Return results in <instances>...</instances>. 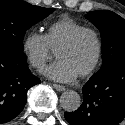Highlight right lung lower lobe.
Returning a JSON list of instances; mask_svg holds the SVG:
<instances>
[{
    "instance_id": "98d812e1",
    "label": "right lung lower lobe",
    "mask_w": 125,
    "mask_h": 125,
    "mask_svg": "<svg viewBox=\"0 0 125 125\" xmlns=\"http://www.w3.org/2000/svg\"><path fill=\"white\" fill-rule=\"evenodd\" d=\"M23 51L0 43V123L18 116L27 101V91L40 80L28 69Z\"/></svg>"
}]
</instances>
